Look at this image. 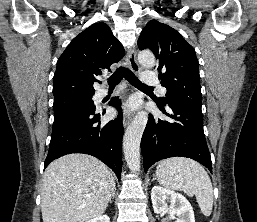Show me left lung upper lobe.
<instances>
[{
  "instance_id": "left-lung-upper-lobe-1",
  "label": "left lung upper lobe",
  "mask_w": 257,
  "mask_h": 222,
  "mask_svg": "<svg viewBox=\"0 0 257 222\" xmlns=\"http://www.w3.org/2000/svg\"><path fill=\"white\" fill-rule=\"evenodd\" d=\"M140 50L150 49L157 58L156 69L167 88L163 104L169 100L201 107L198 60L193 47L172 27L149 21L138 40Z\"/></svg>"
}]
</instances>
